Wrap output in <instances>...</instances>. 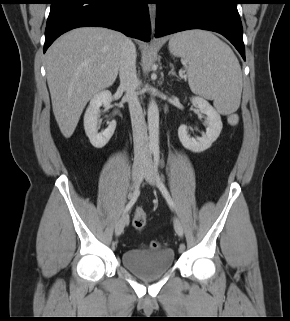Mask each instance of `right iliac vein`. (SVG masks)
I'll return each instance as SVG.
<instances>
[{
    "mask_svg": "<svg viewBox=\"0 0 290 321\" xmlns=\"http://www.w3.org/2000/svg\"><path fill=\"white\" fill-rule=\"evenodd\" d=\"M144 167H143V162L142 160H136L133 165V181L134 185L138 186V184L141 181V176L143 173ZM128 222V214L124 213L121 218L117 221L116 226H115V235L118 237L122 234L125 225Z\"/></svg>",
    "mask_w": 290,
    "mask_h": 321,
    "instance_id": "right-iliac-vein-1",
    "label": "right iliac vein"
}]
</instances>
